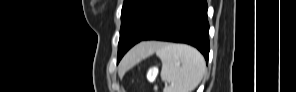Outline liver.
I'll use <instances>...</instances> for the list:
<instances>
[{
  "instance_id": "obj_1",
  "label": "liver",
  "mask_w": 296,
  "mask_h": 92,
  "mask_svg": "<svg viewBox=\"0 0 296 92\" xmlns=\"http://www.w3.org/2000/svg\"><path fill=\"white\" fill-rule=\"evenodd\" d=\"M151 46V43H142L136 48H134L125 58V64L132 66L143 56L148 48Z\"/></svg>"
}]
</instances>
